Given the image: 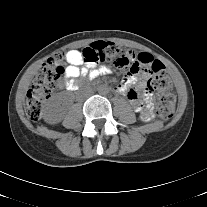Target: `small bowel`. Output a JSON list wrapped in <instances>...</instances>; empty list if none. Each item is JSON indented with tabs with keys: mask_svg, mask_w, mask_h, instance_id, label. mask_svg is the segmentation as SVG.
Segmentation results:
<instances>
[{
	"mask_svg": "<svg viewBox=\"0 0 207 207\" xmlns=\"http://www.w3.org/2000/svg\"><path fill=\"white\" fill-rule=\"evenodd\" d=\"M66 61L67 66L64 71L68 80L65 83V87L70 91L76 90L80 86L79 77L94 79L111 73L110 68L107 66L95 67L88 63L84 64L82 53L76 49L66 53ZM144 89V74L141 71L132 72L130 69L126 77L115 88L117 93L128 97L134 110L139 113L142 120L149 121L153 117L152 99L150 95L142 93Z\"/></svg>",
	"mask_w": 207,
	"mask_h": 207,
	"instance_id": "small-bowel-1",
	"label": "small bowel"
}]
</instances>
